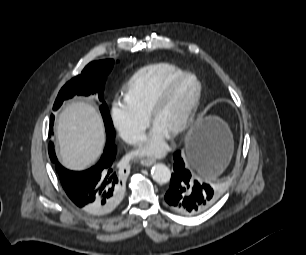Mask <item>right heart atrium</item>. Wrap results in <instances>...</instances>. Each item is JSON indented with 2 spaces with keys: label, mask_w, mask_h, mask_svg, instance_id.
<instances>
[{
  "label": "right heart atrium",
  "mask_w": 306,
  "mask_h": 255,
  "mask_svg": "<svg viewBox=\"0 0 306 255\" xmlns=\"http://www.w3.org/2000/svg\"><path fill=\"white\" fill-rule=\"evenodd\" d=\"M111 121L128 144H138L144 136L147 117L135 110L125 99H115L110 109Z\"/></svg>",
  "instance_id": "obj_1"
}]
</instances>
